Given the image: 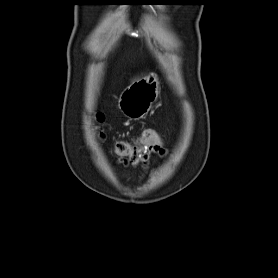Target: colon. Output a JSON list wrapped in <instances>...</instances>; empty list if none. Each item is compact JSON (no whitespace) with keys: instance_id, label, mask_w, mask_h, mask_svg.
Masks as SVG:
<instances>
[{"instance_id":"1","label":"colon","mask_w":278,"mask_h":278,"mask_svg":"<svg viewBox=\"0 0 278 278\" xmlns=\"http://www.w3.org/2000/svg\"><path fill=\"white\" fill-rule=\"evenodd\" d=\"M102 118V115H97V119L99 121H101ZM143 138L149 144L162 145V139L160 135L154 130H145L143 133ZM114 151L116 155L128 158L131 163H137L149 157L147 149L138 148L127 141L118 142L115 145Z\"/></svg>"}]
</instances>
